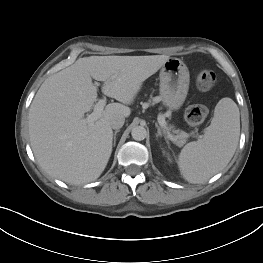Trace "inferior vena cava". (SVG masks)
Listing matches in <instances>:
<instances>
[{
	"mask_svg": "<svg viewBox=\"0 0 263 263\" xmlns=\"http://www.w3.org/2000/svg\"><path fill=\"white\" fill-rule=\"evenodd\" d=\"M125 122V117L123 115H115L110 120V125L113 129H120Z\"/></svg>",
	"mask_w": 263,
	"mask_h": 263,
	"instance_id": "obj_1",
	"label": "inferior vena cava"
}]
</instances>
